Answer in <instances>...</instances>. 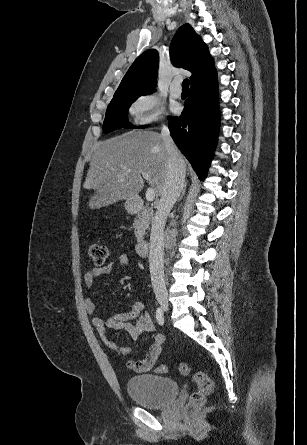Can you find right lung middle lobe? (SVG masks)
<instances>
[{
	"mask_svg": "<svg viewBox=\"0 0 307 445\" xmlns=\"http://www.w3.org/2000/svg\"><path fill=\"white\" fill-rule=\"evenodd\" d=\"M125 97L122 99L111 101L103 123V131L105 133L112 132L117 128H135L128 122L127 113L130 105L138 98Z\"/></svg>",
	"mask_w": 307,
	"mask_h": 445,
	"instance_id": "dd1d6c3e",
	"label": "right lung middle lobe"
}]
</instances>
